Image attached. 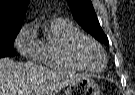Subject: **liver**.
I'll use <instances>...</instances> for the list:
<instances>
[{"mask_svg": "<svg viewBox=\"0 0 135 95\" xmlns=\"http://www.w3.org/2000/svg\"><path fill=\"white\" fill-rule=\"evenodd\" d=\"M87 75L0 59V95H55Z\"/></svg>", "mask_w": 135, "mask_h": 95, "instance_id": "obj_1", "label": "liver"}]
</instances>
